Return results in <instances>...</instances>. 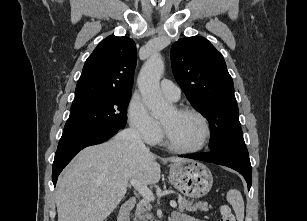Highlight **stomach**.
Masks as SVG:
<instances>
[{"mask_svg": "<svg viewBox=\"0 0 307 221\" xmlns=\"http://www.w3.org/2000/svg\"><path fill=\"white\" fill-rule=\"evenodd\" d=\"M169 175L174 186L190 198L205 196L213 185V176L209 168L193 160L171 164Z\"/></svg>", "mask_w": 307, "mask_h": 221, "instance_id": "0dacf381", "label": "stomach"}]
</instances>
